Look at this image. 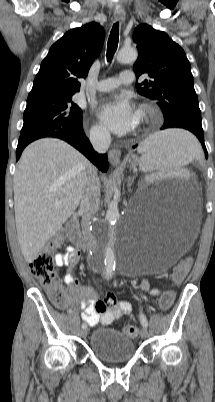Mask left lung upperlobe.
Segmentation results:
<instances>
[{
	"instance_id": "1",
	"label": "left lung upper lobe",
	"mask_w": 215,
	"mask_h": 402,
	"mask_svg": "<svg viewBox=\"0 0 215 402\" xmlns=\"http://www.w3.org/2000/svg\"><path fill=\"white\" fill-rule=\"evenodd\" d=\"M133 40L138 49L133 70L137 78L142 74L151 78L137 83V92L158 102L164 122L182 119L201 125V111L184 50L165 32L147 24L135 28Z\"/></svg>"
}]
</instances>
